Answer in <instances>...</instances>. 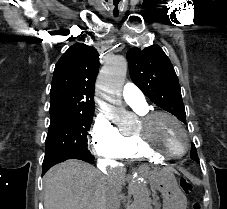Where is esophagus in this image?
Listing matches in <instances>:
<instances>
[{
  "mask_svg": "<svg viewBox=\"0 0 227 209\" xmlns=\"http://www.w3.org/2000/svg\"><path fill=\"white\" fill-rule=\"evenodd\" d=\"M151 170L150 166H141L140 167V174L141 176H145V174H149V171Z\"/></svg>",
  "mask_w": 227,
  "mask_h": 209,
  "instance_id": "34e87169",
  "label": "esophagus"
}]
</instances>
